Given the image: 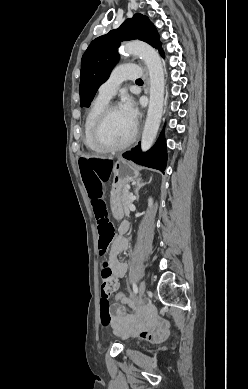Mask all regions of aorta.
I'll return each mask as SVG.
<instances>
[{
    "label": "aorta",
    "mask_w": 248,
    "mask_h": 389,
    "mask_svg": "<svg viewBox=\"0 0 248 389\" xmlns=\"http://www.w3.org/2000/svg\"><path fill=\"white\" fill-rule=\"evenodd\" d=\"M122 51L140 56L149 71V107L141 139V149L147 151L156 138L163 114L164 69L158 52L146 43L128 42L122 46Z\"/></svg>",
    "instance_id": "obj_1"
}]
</instances>
